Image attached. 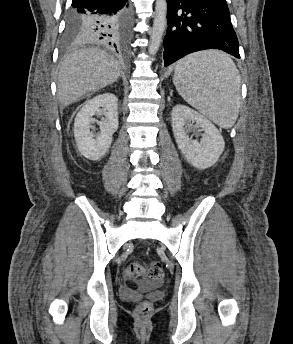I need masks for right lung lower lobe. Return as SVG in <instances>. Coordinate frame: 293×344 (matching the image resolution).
<instances>
[{
	"label": "right lung lower lobe",
	"mask_w": 293,
	"mask_h": 344,
	"mask_svg": "<svg viewBox=\"0 0 293 344\" xmlns=\"http://www.w3.org/2000/svg\"><path fill=\"white\" fill-rule=\"evenodd\" d=\"M72 11L86 16L83 42L121 46L131 19L129 0H73Z\"/></svg>",
	"instance_id": "98d812e1"
}]
</instances>
